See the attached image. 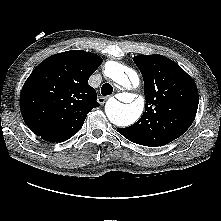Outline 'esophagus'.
Instances as JSON below:
<instances>
[{"label":"esophagus","mask_w":221,"mask_h":221,"mask_svg":"<svg viewBox=\"0 0 221 221\" xmlns=\"http://www.w3.org/2000/svg\"><path fill=\"white\" fill-rule=\"evenodd\" d=\"M107 99L108 97L99 96L97 100L101 105H103Z\"/></svg>","instance_id":"1"}]
</instances>
